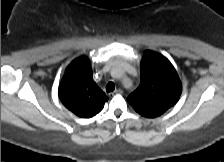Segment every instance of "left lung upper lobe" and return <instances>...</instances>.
Returning a JSON list of instances; mask_svg holds the SVG:
<instances>
[{
	"instance_id": "5c2ea615",
	"label": "left lung upper lobe",
	"mask_w": 224,
	"mask_h": 162,
	"mask_svg": "<svg viewBox=\"0 0 224 162\" xmlns=\"http://www.w3.org/2000/svg\"><path fill=\"white\" fill-rule=\"evenodd\" d=\"M140 70V86L127 101L142 116L155 118L176 104L182 92L181 82L170 61L154 51L144 52Z\"/></svg>"
}]
</instances>
